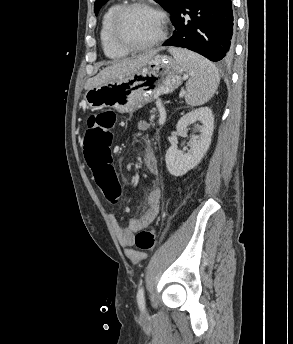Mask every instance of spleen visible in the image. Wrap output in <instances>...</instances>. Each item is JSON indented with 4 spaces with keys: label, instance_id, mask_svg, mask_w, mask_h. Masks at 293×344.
Here are the masks:
<instances>
[{
    "label": "spleen",
    "instance_id": "obj_1",
    "mask_svg": "<svg viewBox=\"0 0 293 344\" xmlns=\"http://www.w3.org/2000/svg\"><path fill=\"white\" fill-rule=\"evenodd\" d=\"M169 52L190 75L186 84V103L199 106L209 101L220 83V75L215 65L185 49L171 48Z\"/></svg>",
    "mask_w": 293,
    "mask_h": 344
}]
</instances>
